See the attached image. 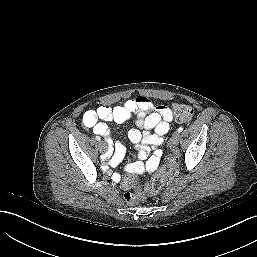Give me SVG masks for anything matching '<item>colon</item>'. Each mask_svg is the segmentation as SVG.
Listing matches in <instances>:
<instances>
[{
	"mask_svg": "<svg viewBox=\"0 0 257 257\" xmlns=\"http://www.w3.org/2000/svg\"><path fill=\"white\" fill-rule=\"evenodd\" d=\"M173 113L176 121L180 123H188L194 116V109L189 105L177 103L173 106ZM177 163L178 158L176 156H169L165 165L160 168V170L151 178L145 187L137 186L133 194L127 193L125 195V199L127 201L138 202L144 198L145 192L150 194L159 192L162 189L165 180L172 173ZM123 183L126 185H131L133 183L132 177L130 175L125 176Z\"/></svg>",
	"mask_w": 257,
	"mask_h": 257,
	"instance_id": "1",
	"label": "colon"
}]
</instances>
